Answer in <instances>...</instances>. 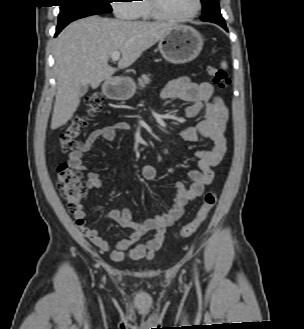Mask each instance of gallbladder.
I'll return each mask as SVG.
<instances>
[{"label": "gallbladder", "mask_w": 304, "mask_h": 329, "mask_svg": "<svg viewBox=\"0 0 304 329\" xmlns=\"http://www.w3.org/2000/svg\"><path fill=\"white\" fill-rule=\"evenodd\" d=\"M88 91V86L87 85H81L79 89V97L84 96Z\"/></svg>", "instance_id": "1"}]
</instances>
